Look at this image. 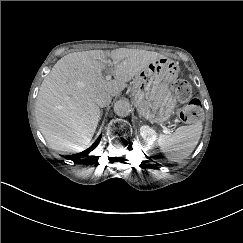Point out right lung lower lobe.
<instances>
[{
	"instance_id": "98d812e1",
	"label": "right lung lower lobe",
	"mask_w": 243,
	"mask_h": 243,
	"mask_svg": "<svg viewBox=\"0 0 243 243\" xmlns=\"http://www.w3.org/2000/svg\"><path fill=\"white\" fill-rule=\"evenodd\" d=\"M101 136L102 135H100L98 137V139L95 141V143L89 149H86L85 151L78 153V154L68 155V156H66V159H71L75 162H85L86 159H84V157H86L94 148H96V146L99 144ZM87 158L90 159L91 157H87Z\"/></svg>"
}]
</instances>
